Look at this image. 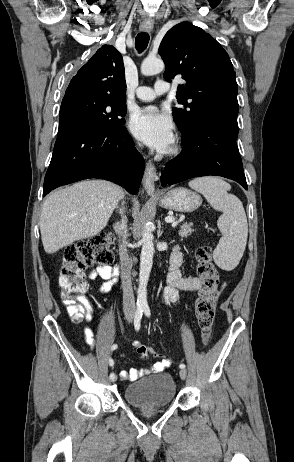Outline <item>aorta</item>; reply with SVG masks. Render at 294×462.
I'll use <instances>...</instances> for the list:
<instances>
[{
  "mask_svg": "<svg viewBox=\"0 0 294 462\" xmlns=\"http://www.w3.org/2000/svg\"><path fill=\"white\" fill-rule=\"evenodd\" d=\"M165 65L161 59L146 58L141 64V73L146 76L155 75L163 71ZM142 249L140 256L139 287L137 291V306L145 308L147 303V284L153 264L155 252L151 223H146L141 239Z\"/></svg>",
  "mask_w": 294,
  "mask_h": 462,
  "instance_id": "1",
  "label": "aorta"
}]
</instances>
